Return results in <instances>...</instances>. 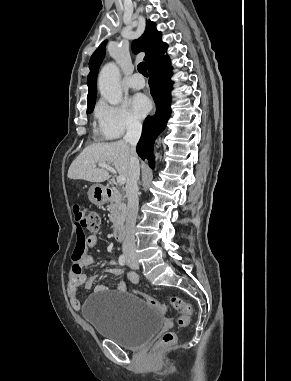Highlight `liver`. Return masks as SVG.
Segmentation results:
<instances>
[{
  "instance_id": "liver-1",
  "label": "liver",
  "mask_w": 291,
  "mask_h": 381,
  "mask_svg": "<svg viewBox=\"0 0 291 381\" xmlns=\"http://www.w3.org/2000/svg\"><path fill=\"white\" fill-rule=\"evenodd\" d=\"M98 163L113 165L119 177L127 180L130 169L129 145L124 140L88 145L70 165L68 178L93 183L107 180L110 177L109 171L96 168Z\"/></svg>"
}]
</instances>
